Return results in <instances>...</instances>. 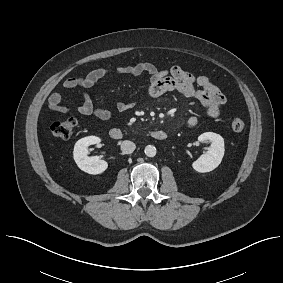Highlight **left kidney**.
<instances>
[{
	"mask_svg": "<svg viewBox=\"0 0 283 283\" xmlns=\"http://www.w3.org/2000/svg\"><path fill=\"white\" fill-rule=\"evenodd\" d=\"M199 142H211L208 151L202 154L192 163L194 170L200 173H206L214 170L221 163L224 156V139L219 134L205 132L198 137Z\"/></svg>",
	"mask_w": 283,
	"mask_h": 283,
	"instance_id": "1",
	"label": "left kidney"
}]
</instances>
